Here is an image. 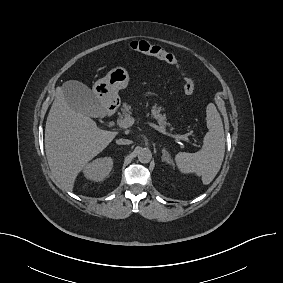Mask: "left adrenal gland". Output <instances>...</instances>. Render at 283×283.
Returning <instances> with one entry per match:
<instances>
[{
    "label": "left adrenal gland",
    "instance_id": "a2214340",
    "mask_svg": "<svg viewBox=\"0 0 283 283\" xmlns=\"http://www.w3.org/2000/svg\"><path fill=\"white\" fill-rule=\"evenodd\" d=\"M162 161L173 165V161L170 157V154L165 148L162 149Z\"/></svg>",
    "mask_w": 283,
    "mask_h": 283
}]
</instances>
